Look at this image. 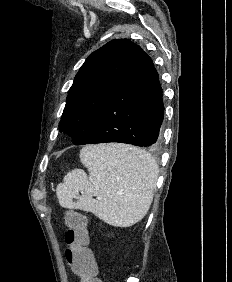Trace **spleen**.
Segmentation results:
<instances>
[{
  "label": "spleen",
  "mask_w": 232,
  "mask_h": 282,
  "mask_svg": "<svg viewBox=\"0 0 232 282\" xmlns=\"http://www.w3.org/2000/svg\"><path fill=\"white\" fill-rule=\"evenodd\" d=\"M79 156L89 177L79 169L67 173L56 188L62 207L92 212L119 227L132 226L146 215L158 178V165L150 153L129 145L104 144L86 146Z\"/></svg>",
  "instance_id": "spleen-1"
}]
</instances>
